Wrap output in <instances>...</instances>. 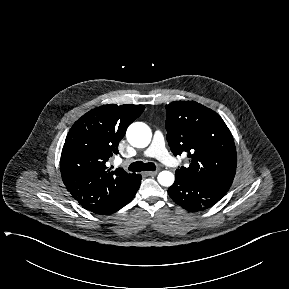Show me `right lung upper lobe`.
<instances>
[{
	"instance_id": "right-lung-upper-lobe-1",
	"label": "right lung upper lobe",
	"mask_w": 289,
	"mask_h": 289,
	"mask_svg": "<svg viewBox=\"0 0 289 289\" xmlns=\"http://www.w3.org/2000/svg\"><path fill=\"white\" fill-rule=\"evenodd\" d=\"M144 109V105H103L73 124L62 149L60 169L68 191L84 208L104 214L135 188L138 174L119 168L107 172L105 163L118 153L127 127Z\"/></svg>"
}]
</instances>
